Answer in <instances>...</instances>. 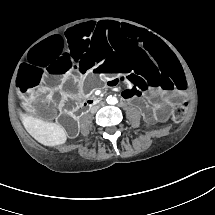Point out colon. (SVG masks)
Returning a JSON list of instances; mask_svg holds the SVG:
<instances>
[{
  "instance_id": "colon-1",
  "label": "colon",
  "mask_w": 215,
  "mask_h": 215,
  "mask_svg": "<svg viewBox=\"0 0 215 215\" xmlns=\"http://www.w3.org/2000/svg\"><path fill=\"white\" fill-rule=\"evenodd\" d=\"M186 108L187 104H182L173 110V121L175 123H180L184 119Z\"/></svg>"
}]
</instances>
